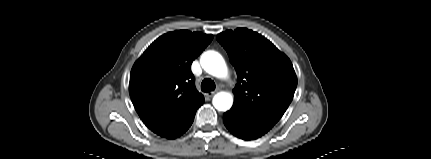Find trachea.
I'll return each instance as SVG.
<instances>
[{"label": "trachea", "mask_w": 431, "mask_h": 159, "mask_svg": "<svg viewBox=\"0 0 431 159\" xmlns=\"http://www.w3.org/2000/svg\"><path fill=\"white\" fill-rule=\"evenodd\" d=\"M215 87L216 86H215L214 81L211 80L210 78H205L201 83V90L203 92L214 91Z\"/></svg>", "instance_id": "1"}]
</instances>
